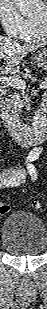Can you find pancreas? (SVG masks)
Wrapping results in <instances>:
<instances>
[{
  "instance_id": "1",
  "label": "pancreas",
  "mask_w": 47,
  "mask_h": 309,
  "mask_svg": "<svg viewBox=\"0 0 47 309\" xmlns=\"http://www.w3.org/2000/svg\"><path fill=\"white\" fill-rule=\"evenodd\" d=\"M22 112V110H19V112L17 113V116L19 117V114Z\"/></svg>"
}]
</instances>
